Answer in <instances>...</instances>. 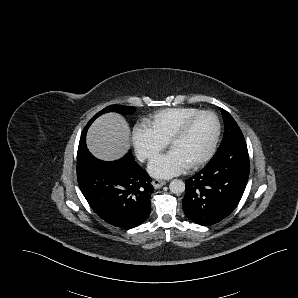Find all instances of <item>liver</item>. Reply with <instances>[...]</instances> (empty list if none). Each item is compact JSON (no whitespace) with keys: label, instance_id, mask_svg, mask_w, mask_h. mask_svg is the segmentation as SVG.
I'll return each mask as SVG.
<instances>
[{"label":"liver","instance_id":"1","mask_svg":"<svg viewBox=\"0 0 298 298\" xmlns=\"http://www.w3.org/2000/svg\"><path fill=\"white\" fill-rule=\"evenodd\" d=\"M130 127L117 112L98 116L86 133V146L97 159L113 162L123 158L130 149Z\"/></svg>","mask_w":298,"mask_h":298}]
</instances>
